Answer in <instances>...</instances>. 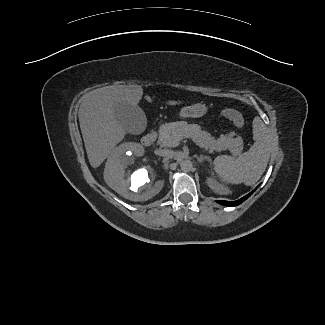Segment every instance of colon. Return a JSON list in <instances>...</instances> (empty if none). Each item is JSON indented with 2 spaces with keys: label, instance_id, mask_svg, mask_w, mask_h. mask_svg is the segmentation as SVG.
I'll return each instance as SVG.
<instances>
[{
  "label": "colon",
  "instance_id": "obj_1",
  "mask_svg": "<svg viewBox=\"0 0 325 325\" xmlns=\"http://www.w3.org/2000/svg\"><path fill=\"white\" fill-rule=\"evenodd\" d=\"M220 114L224 118L230 120L236 127L241 128L245 124V120H244L242 114L235 109L226 108V109L221 110Z\"/></svg>",
  "mask_w": 325,
  "mask_h": 325
}]
</instances>
